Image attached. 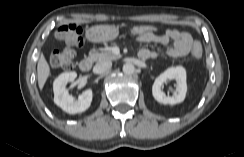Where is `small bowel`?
I'll list each match as a JSON object with an SVG mask.
<instances>
[{
    "instance_id": "small-bowel-1",
    "label": "small bowel",
    "mask_w": 244,
    "mask_h": 157,
    "mask_svg": "<svg viewBox=\"0 0 244 157\" xmlns=\"http://www.w3.org/2000/svg\"><path fill=\"white\" fill-rule=\"evenodd\" d=\"M141 43H160L167 45L172 42L168 48L167 54L171 57H181L187 55L193 45V39L188 32L179 31L177 29H167L161 34H150L137 37ZM139 56L142 59H154L159 56V52L143 48L139 51Z\"/></svg>"
}]
</instances>
